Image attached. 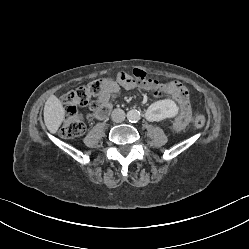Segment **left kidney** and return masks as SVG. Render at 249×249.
Returning a JSON list of instances; mask_svg holds the SVG:
<instances>
[{
    "instance_id": "5707ae66",
    "label": "left kidney",
    "mask_w": 249,
    "mask_h": 249,
    "mask_svg": "<svg viewBox=\"0 0 249 249\" xmlns=\"http://www.w3.org/2000/svg\"><path fill=\"white\" fill-rule=\"evenodd\" d=\"M177 103H174L172 100L160 101L153 105L147 112L146 118L155 119L156 121H161L163 118L169 117L176 111Z\"/></svg>"
}]
</instances>
